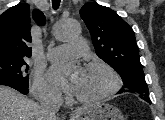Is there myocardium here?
Returning <instances> with one entry per match:
<instances>
[{"label":"myocardium","mask_w":165,"mask_h":120,"mask_svg":"<svg viewBox=\"0 0 165 120\" xmlns=\"http://www.w3.org/2000/svg\"><path fill=\"white\" fill-rule=\"evenodd\" d=\"M86 69H102L106 71L111 79H112V84L110 88L104 92L103 94L91 98V99H83L75 95V101L81 105H94L101 103L111 96H113L121 87V78L118 72L108 63L103 62V61H95V62H90L86 65Z\"/></svg>","instance_id":"obj_1"}]
</instances>
